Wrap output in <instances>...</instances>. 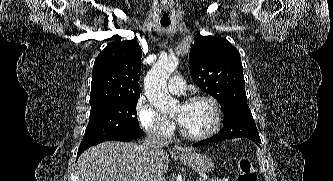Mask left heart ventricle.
Here are the masks:
<instances>
[{"label": "left heart ventricle", "instance_id": "obj_1", "mask_svg": "<svg viewBox=\"0 0 333 181\" xmlns=\"http://www.w3.org/2000/svg\"><path fill=\"white\" fill-rule=\"evenodd\" d=\"M173 116L180 119L182 128L191 134L205 132L213 122L212 109L204 101L178 105L173 111Z\"/></svg>", "mask_w": 333, "mask_h": 181}]
</instances>
